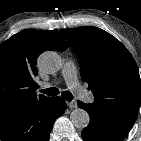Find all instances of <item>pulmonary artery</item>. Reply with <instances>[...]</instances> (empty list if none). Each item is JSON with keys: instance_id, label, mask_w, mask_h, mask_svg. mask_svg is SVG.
<instances>
[{"instance_id": "1", "label": "pulmonary artery", "mask_w": 141, "mask_h": 141, "mask_svg": "<svg viewBox=\"0 0 141 141\" xmlns=\"http://www.w3.org/2000/svg\"><path fill=\"white\" fill-rule=\"evenodd\" d=\"M62 75L65 79V82L67 86L75 93L77 94L81 99H83L86 102H91L93 100V96L89 94L79 83L78 77H77V70L75 65L67 61L62 69ZM43 88L49 87L48 83H44L42 85Z\"/></svg>"}]
</instances>
